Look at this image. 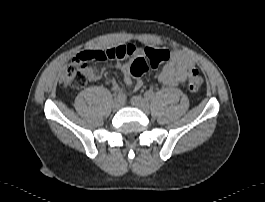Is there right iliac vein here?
I'll return each instance as SVG.
<instances>
[{"mask_svg":"<svg viewBox=\"0 0 265 202\" xmlns=\"http://www.w3.org/2000/svg\"><path fill=\"white\" fill-rule=\"evenodd\" d=\"M122 106V100L120 99H114L112 102V109L114 111H117L120 109V107Z\"/></svg>","mask_w":265,"mask_h":202,"instance_id":"1","label":"right iliac vein"}]
</instances>
